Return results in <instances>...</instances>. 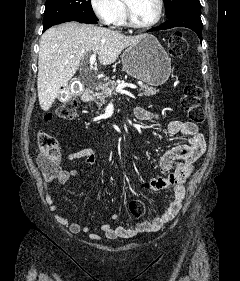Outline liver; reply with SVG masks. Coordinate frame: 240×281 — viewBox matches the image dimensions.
<instances>
[{
  "instance_id": "liver-1",
  "label": "liver",
  "mask_w": 240,
  "mask_h": 281,
  "mask_svg": "<svg viewBox=\"0 0 240 281\" xmlns=\"http://www.w3.org/2000/svg\"><path fill=\"white\" fill-rule=\"evenodd\" d=\"M145 35L127 36L94 25L68 22L51 27L40 39L37 90L40 107L48 111L61 87L68 86L81 62L89 54H98L101 65L114 63L127 47Z\"/></svg>"
}]
</instances>
